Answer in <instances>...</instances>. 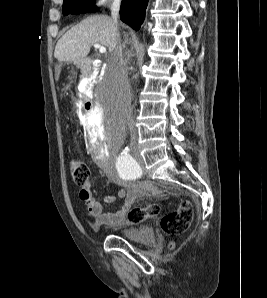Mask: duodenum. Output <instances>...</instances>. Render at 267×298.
<instances>
[{
    "label": "duodenum",
    "mask_w": 267,
    "mask_h": 298,
    "mask_svg": "<svg viewBox=\"0 0 267 298\" xmlns=\"http://www.w3.org/2000/svg\"><path fill=\"white\" fill-rule=\"evenodd\" d=\"M77 66L82 70V76H92V79H99V74H94V72L91 71L95 66H99L98 61L84 58L77 61ZM92 88V84H87L83 90V100H80V105H83L82 115H92V105H94L92 98H96V93H90Z\"/></svg>",
    "instance_id": "duodenum-1"
}]
</instances>
